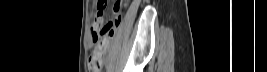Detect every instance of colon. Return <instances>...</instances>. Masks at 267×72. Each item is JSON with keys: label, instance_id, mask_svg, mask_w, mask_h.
I'll return each instance as SVG.
<instances>
[{"label": "colon", "instance_id": "5ec220e1", "mask_svg": "<svg viewBox=\"0 0 267 72\" xmlns=\"http://www.w3.org/2000/svg\"><path fill=\"white\" fill-rule=\"evenodd\" d=\"M106 1L104 0H98L95 2V13H94V21L97 17H101V13L103 10V7L105 6ZM118 26V22H110L106 27L102 28L101 32L103 35L112 37L115 33V30ZM92 34L96 38V40L99 38L97 31L95 30V23L92 24ZM107 44L105 42H100L97 44L94 52L90 55L88 60V67L90 71L98 72L100 71L102 64H103V58L104 54L106 52Z\"/></svg>", "mask_w": 267, "mask_h": 72}]
</instances>
